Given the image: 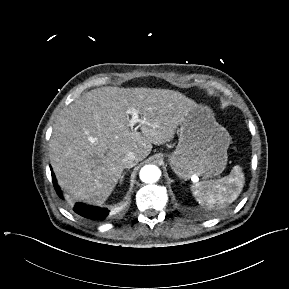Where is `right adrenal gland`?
Here are the masks:
<instances>
[{
    "label": "right adrenal gland",
    "mask_w": 289,
    "mask_h": 289,
    "mask_svg": "<svg viewBox=\"0 0 289 289\" xmlns=\"http://www.w3.org/2000/svg\"><path fill=\"white\" fill-rule=\"evenodd\" d=\"M124 176H125V173H123V175L121 176V178H120V184H122V182H123V179H124Z\"/></svg>",
    "instance_id": "right-adrenal-gland-1"
}]
</instances>
